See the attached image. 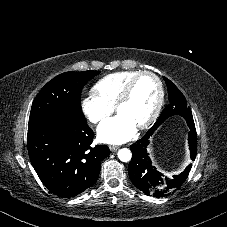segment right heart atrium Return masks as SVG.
I'll use <instances>...</instances> for the list:
<instances>
[{
    "label": "right heart atrium",
    "instance_id": "1",
    "mask_svg": "<svg viewBox=\"0 0 227 227\" xmlns=\"http://www.w3.org/2000/svg\"><path fill=\"white\" fill-rule=\"evenodd\" d=\"M81 111L90 122L96 124L110 115L112 107L97 95L91 93L82 99Z\"/></svg>",
    "mask_w": 227,
    "mask_h": 227
}]
</instances>
